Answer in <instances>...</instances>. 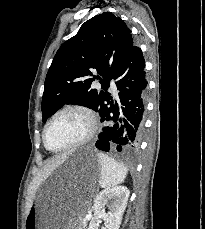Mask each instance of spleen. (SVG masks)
I'll use <instances>...</instances> for the list:
<instances>
[{"instance_id":"3e777b00","label":"spleen","mask_w":205,"mask_h":229,"mask_svg":"<svg viewBox=\"0 0 205 229\" xmlns=\"http://www.w3.org/2000/svg\"><path fill=\"white\" fill-rule=\"evenodd\" d=\"M97 156L101 166V187L109 188L122 183L127 176V169L124 165L110 158L106 154L98 153Z\"/></svg>"}]
</instances>
